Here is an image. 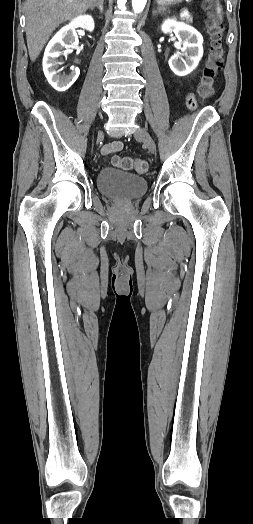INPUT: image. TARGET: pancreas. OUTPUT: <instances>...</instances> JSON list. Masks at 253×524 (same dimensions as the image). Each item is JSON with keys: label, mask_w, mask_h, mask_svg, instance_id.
Wrapping results in <instances>:
<instances>
[{"label": "pancreas", "mask_w": 253, "mask_h": 524, "mask_svg": "<svg viewBox=\"0 0 253 524\" xmlns=\"http://www.w3.org/2000/svg\"><path fill=\"white\" fill-rule=\"evenodd\" d=\"M184 20H186L189 23H192V16H186Z\"/></svg>", "instance_id": "1"}]
</instances>
